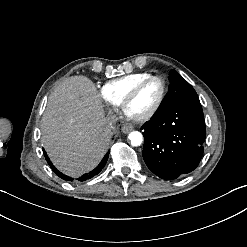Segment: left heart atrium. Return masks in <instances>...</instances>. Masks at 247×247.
<instances>
[{"label":"left heart atrium","instance_id":"39dd6f15","mask_svg":"<svg viewBox=\"0 0 247 247\" xmlns=\"http://www.w3.org/2000/svg\"><path fill=\"white\" fill-rule=\"evenodd\" d=\"M126 116L128 117V118H134V116L131 114V113H129L128 111H126Z\"/></svg>","mask_w":247,"mask_h":247}]
</instances>
